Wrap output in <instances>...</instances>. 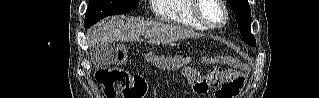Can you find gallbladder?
Instances as JSON below:
<instances>
[{
    "label": "gallbladder",
    "instance_id": "1",
    "mask_svg": "<svg viewBox=\"0 0 319 98\" xmlns=\"http://www.w3.org/2000/svg\"><path fill=\"white\" fill-rule=\"evenodd\" d=\"M91 61L96 67H105L113 61V48L108 44H99L91 50Z\"/></svg>",
    "mask_w": 319,
    "mask_h": 98
}]
</instances>
